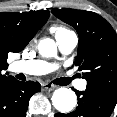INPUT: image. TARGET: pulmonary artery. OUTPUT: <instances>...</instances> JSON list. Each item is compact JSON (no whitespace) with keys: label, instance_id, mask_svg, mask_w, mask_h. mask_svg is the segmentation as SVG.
<instances>
[{"label":"pulmonary artery","instance_id":"obj_1","mask_svg":"<svg viewBox=\"0 0 117 117\" xmlns=\"http://www.w3.org/2000/svg\"><path fill=\"white\" fill-rule=\"evenodd\" d=\"M57 46L63 55L70 54L77 45L78 37L75 32L68 31L55 37ZM57 64L43 60L16 61L12 64L14 72H20L27 75H45L54 71ZM79 90H85L87 82L84 79L78 80L75 84Z\"/></svg>","mask_w":117,"mask_h":117}]
</instances>
